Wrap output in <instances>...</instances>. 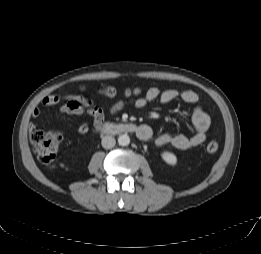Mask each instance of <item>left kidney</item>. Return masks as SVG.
<instances>
[{
  "label": "left kidney",
  "instance_id": "left-kidney-1",
  "mask_svg": "<svg viewBox=\"0 0 261 254\" xmlns=\"http://www.w3.org/2000/svg\"><path fill=\"white\" fill-rule=\"evenodd\" d=\"M161 157L169 165L174 166L177 164V157L171 152H163Z\"/></svg>",
  "mask_w": 261,
  "mask_h": 254
}]
</instances>
